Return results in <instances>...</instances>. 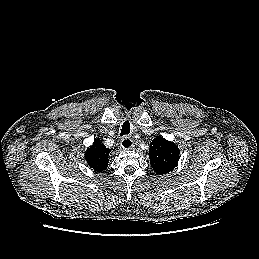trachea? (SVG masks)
Listing matches in <instances>:
<instances>
[{"label":"trachea","instance_id":"3493384b","mask_svg":"<svg viewBox=\"0 0 259 259\" xmlns=\"http://www.w3.org/2000/svg\"><path fill=\"white\" fill-rule=\"evenodd\" d=\"M130 133V123L128 121H125L122 125L121 129V136L128 135Z\"/></svg>","mask_w":259,"mask_h":259}]
</instances>
